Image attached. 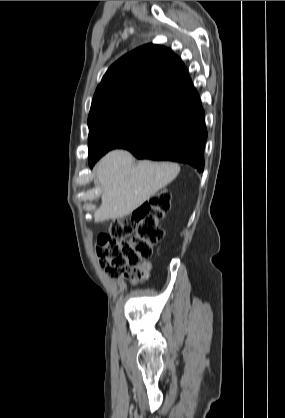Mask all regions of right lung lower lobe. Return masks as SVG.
<instances>
[{
	"instance_id": "right-lung-lower-lobe-1",
	"label": "right lung lower lobe",
	"mask_w": 285,
	"mask_h": 418,
	"mask_svg": "<svg viewBox=\"0 0 285 418\" xmlns=\"http://www.w3.org/2000/svg\"><path fill=\"white\" fill-rule=\"evenodd\" d=\"M206 139L205 112L197 95L172 108L159 122L121 148L138 159L186 163L202 172ZM98 159L89 160V164L93 166Z\"/></svg>"
}]
</instances>
